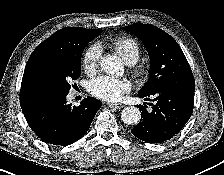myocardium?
I'll return each mask as SVG.
<instances>
[{
    "instance_id": "obj_1",
    "label": "myocardium",
    "mask_w": 224,
    "mask_h": 175,
    "mask_svg": "<svg viewBox=\"0 0 224 175\" xmlns=\"http://www.w3.org/2000/svg\"><path fill=\"white\" fill-rule=\"evenodd\" d=\"M147 74V71L144 67H139L138 69L135 70V75L138 78H144Z\"/></svg>"
}]
</instances>
